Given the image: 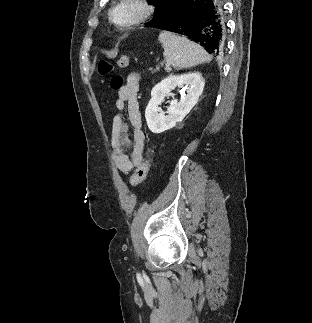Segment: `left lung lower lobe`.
Masks as SVG:
<instances>
[{"mask_svg": "<svg viewBox=\"0 0 312 323\" xmlns=\"http://www.w3.org/2000/svg\"><path fill=\"white\" fill-rule=\"evenodd\" d=\"M156 27L185 35L214 56L225 52L222 0H176L166 20Z\"/></svg>", "mask_w": 312, "mask_h": 323, "instance_id": "0a47b994", "label": "left lung lower lobe"}]
</instances>
